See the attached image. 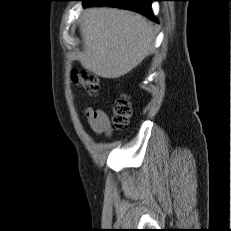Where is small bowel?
Instances as JSON below:
<instances>
[{
    "instance_id": "1",
    "label": "small bowel",
    "mask_w": 231,
    "mask_h": 231,
    "mask_svg": "<svg viewBox=\"0 0 231 231\" xmlns=\"http://www.w3.org/2000/svg\"><path fill=\"white\" fill-rule=\"evenodd\" d=\"M85 116L90 129L95 134H104L109 132L110 121L103 110L86 108Z\"/></svg>"
}]
</instances>
